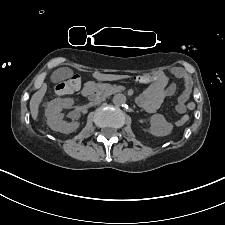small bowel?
Wrapping results in <instances>:
<instances>
[{
    "mask_svg": "<svg viewBox=\"0 0 225 225\" xmlns=\"http://www.w3.org/2000/svg\"><path fill=\"white\" fill-rule=\"evenodd\" d=\"M172 74L176 80L183 84V90L177 98L176 111L179 114H184L186 112V102L192 92L193 81L181 68L173 69ZM175 91L176 84L169 82L164 72H159L157 74V82L142 93L138 98V103L146 112L154 113L160 107L163 100L172 96ZM182 118L188 119L186 115L182 116L176 121L175 124L177 126H180L179 123Z\"/></svg>",
    "mask_w": 225,
    "mask_h": 225,
    "instance_id": "obj_1",
    "label": "small bowel"
}]
</instances>
